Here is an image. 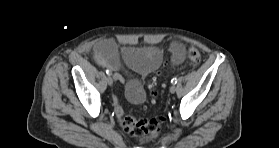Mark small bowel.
Wrapping results in <instances>:
<instances>
[{
    "label": "small bowel",
    "instance_id": "1",
    "mask_svg": "<svg viewBox=\"0 0 279 148\" xmlns=\"http://www.w3.org/2000/svg\"><path fill=\"white\" fill-rule=\"evenodd\" d=\"M94 50L96 62L100 66L113 72L116 81L125 83L127 99L135 104L142 103L145 99V92L142 84L138 79H128L120 72L121 61L142 77H146L161 64L163 59L161 50L156 47H148L144 49L125 47L119 50L115 42L110 39L98 41L95 44ZM170 51L172 55V65H179L184 61L185 49L180 42H172L170 45ZM113 101L116 116L120 118L124 114V109L117 95L113 96Z\"/></svg>",
    "mask_w": 279,
    "mask_h": 148
}]
</instances>
